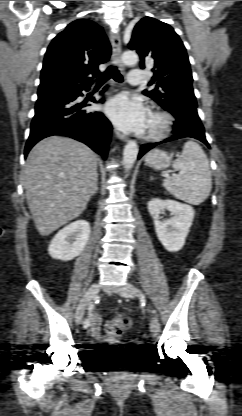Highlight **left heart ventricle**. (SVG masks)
<instances>
[{"label": "left heart ventricle", "instance_id": "obj_1", "mask_svg": "<svg viewBox=\"0 0 242 416\" xmlns=\"http://www.w3.org/2000/svg\"><path fill=\"white\" fill-rule=\"evenodd\" d=\"M154 123V119L151 117V116H148V119H147V124H146V128H145V130L147 129V128H149L152 124Z\"/></svg>", "mask_w": 242, "mask_h": 416}]
</instances>
